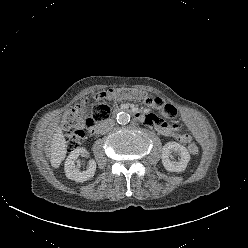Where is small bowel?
<instances>
[{"mask_svg": "<svg viewBox=\"0 0 248 248\" xmlns=\"http://www.w3.org/2000/svg\"><path fill=\"white\" fill-rule=\"evenodd\" d=\"M153 107L154 108H160L159 109V116L156 115H144L143 116V123L144 124H153L154 128H157L158 132L164 136L173 137L175 140H177L180 143H188L191 141L192 136L188 133L180 132L178 131L177 125H170L163 121V118L165 120H174L178 118V111L175 110L172 107L171 103H162L161 99H154L153 100ZM163 104V107H162ZM162 107V108H161ZM163 117V118H162ZM183 121L187 125V127L191 130L193 136L198 140H203V133L196 123V121L190 117L189 115L184 114L183 115Z\"/></svg>", "mask_w": 248, "mask_h": 248, "instance_id": "small-bowel-1", "label": "small bowel"}]
</instances>
